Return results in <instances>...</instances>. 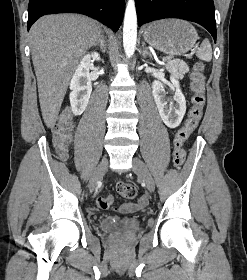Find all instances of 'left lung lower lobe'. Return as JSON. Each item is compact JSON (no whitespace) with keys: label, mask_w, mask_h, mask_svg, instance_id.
I'll use <instances>...</instances> for the list:
<instances>
[{"label":"left lung lower lobe","mask_w":247,"mask_h":280,"mask_svg":"<svg viewBox=\"0 0 247 280\" xmlns=\"http://www.w3.org/2000/svg\"><path fill=\"white\" fill-rule=\"evenodd\" d=\"M135 2L139 26L158 19L180 18L202 25L216 41L213 0H135Z\"/></svg>","instance_id":"0a47b994"}]
</instances>
